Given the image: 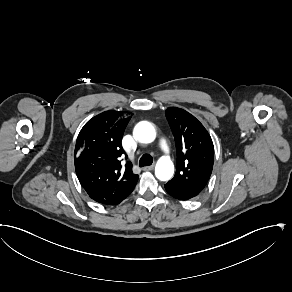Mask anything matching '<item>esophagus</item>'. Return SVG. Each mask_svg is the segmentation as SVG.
Listing matches in <instances>:
<instances>
[{
    "label": "esophagus",
    "mask_w": 292,
    "mask_h": 292,
    "mask_svg": "<svg viewBox=\"0 0 292 292\" xmlns=\"http://www.w3.org/2000/svg\"><path fill=\"white\" fill-rule=\"evenodd\" d=\"M153 168H154V165L145 166V167L142 168V170H144V171H150V170H153Z\"/></svg>",
    "instance_id": "obj_1"
}]
</instances>
